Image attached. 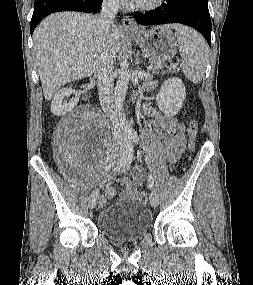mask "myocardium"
Returning a JSON list of instances; mask_svg holds the SVG:
<instances>
[{"label":"myocardium","instance_id":"1","mask_svg":"<svg viewBox=\"0 0 253 285\" xmlns=\"http://www.w3.org/2000/svg\"><path fill=\"white\" fill-rule=\"evenodd\" d=\"M165 0H148L146 2H134L132 8L140 11H151L163 5Z\"/></svg>","mask_w":253,"mask_h":285}]
</instances>
